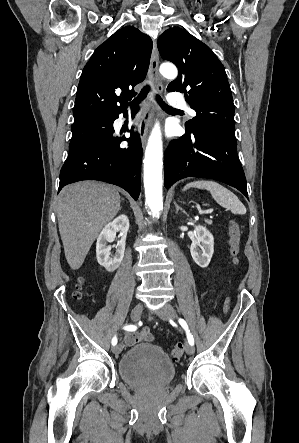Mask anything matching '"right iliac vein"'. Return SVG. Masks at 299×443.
<instances>
[{
    "instance_id": "right-iliac-vein-1",
    "label": "right iliac vein",
    "mask_w": 299,
    "mask_h": 443,
    "mask_svg": "<svg viewBox=\"0 0 299 443\" xmlns=\"http://www.w3.org/2000/svg\"><path fill=\"white\" fill-rule=\"evenodd\" d=\"M142 312H143V306L141 304L135 305L131 311V319L133 321H138L142 315ZM121 351H122V344H118L112 348V352L115 355H119Z\"/></svg>"
}]
</instances>
